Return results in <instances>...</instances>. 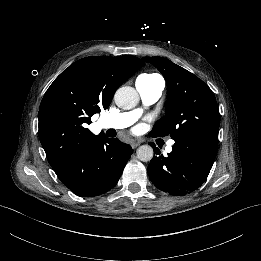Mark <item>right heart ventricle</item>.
I'll return each mask as SVG.
<instances>
[{"label": "right heart ventricle", "mask_w": 261, "mask_h": 261, "mask_svg": "<svg viewBox=\"0 0 261 261\" xmlns=\"http://www.w3.org/2000/svg\"><path fill=\"white\" fill-rule=\"evenodd\" d=\"M158 82L164 83V80L161 75L154 72L140 74L136 80L137 85H151Z\"/></svg>", "instance_id": "obj_1"}]
</instances>
